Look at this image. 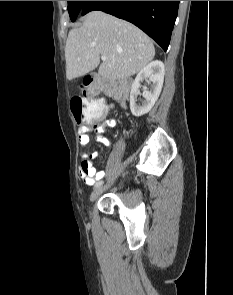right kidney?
Returning <instances> with one entry per match:
<instances>
[{
	"label": "right kidney",
	"mask_w": 233,
	"mask_h": 295,
	"mask_svg": "<svg viewBox=\"0 0 233 295\" xmlns=\"http://www.w3.org/2000/svg\"><path fill=\"white\" fill-rule=\"evenodd\" d=\"M164 74V64L158 60L150 62L137 74L130 91V110L134 116L140 117L152 109L161 93ZM143 79H149L151 88L143 91L144 101L137 103L140 83Z\"/></svg>",
	"instance_id": "1"
}]
</instances>
